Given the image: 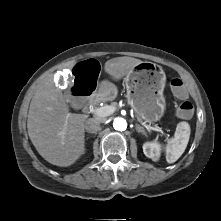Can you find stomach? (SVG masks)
Instances as JSON below:
<instances>
[{
  "label": "stomach",
  "mask_w": 221,
  "mask_h": 221,
  "mask_svg": "<svg viewBox=\"0 0 221 221\" xmlns=\"http://www.w3.org/2000/svg\"><path fill=\"white\" fill-rule=\"evenodd\" d=\"M124 81L127 102L135 113L149 123L160 120L166 108L163 69L152 62H141L130 70ZM101 91L112 95V87L107 83L101 85Z\"/></svg>",
  "instance_id": "0dacf381"
}]
</instances>
